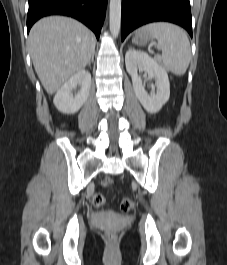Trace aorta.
Masks as SVG:
<instances>
[{"label": "aorta", "instance_id": "762f6f07", "mask_svg": "<svg viewBox=\"0 0 227 265\" xmlns=\"http://www.w3.org/2000/svg\"><path fill=\"white\" fill-rule=\"evenodd\" d=\"M121 2L122 0H110L109 28L114 38L118 37L120 32Z\"/></svg>", "mask_w": 227, "mask_h": 265}]
</instances>
